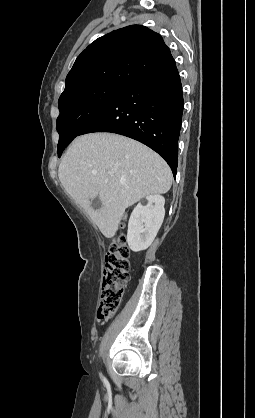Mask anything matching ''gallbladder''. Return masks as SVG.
Returning a JSON list of instances; mask_svg holds the SVG:
<instances>
[{
	"label": "gallbladder",
	"instance_id": "gallbladder-1",
	"mask_svg": "<svg viewBox=\"0 0 255 418\" xmlns=\"http://www.w3.org/2000/svg\"><path fill=\"white\" fill-rule=\"evenodd\" d=\"M91 207L93 209H100L102 207V202L99 199V197H95L92 201H91Z\"/></svg>",
	"mask_w": 255,
	"mask_h": 418
}]
</instances>
